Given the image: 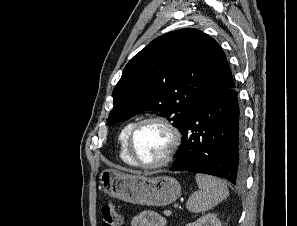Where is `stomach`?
I'll use <instances>...</instances> for the list:
<instances>
[{
  "label": "stomach",
  "mask_w": 297,
  "mask_h": 226,
  "mask_svg": "<svg viewBox=\"0 0 297 226\" xmlns=\"http://www.w3.org/2000/svg\"><path fill=\"white\" fill-rule=\"evenodd\" d=\"M100 183L106 194L133 204L165 206L181 196L180 183L170 176L129 175L106 169L100 174Z\"/></svg>",
  "instance_id": "0dacf381"
}]
</instances>
